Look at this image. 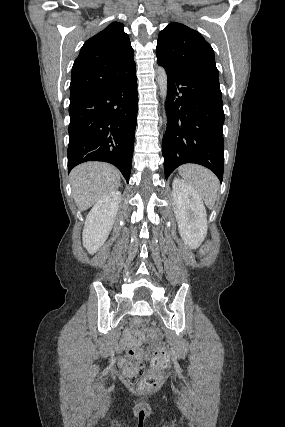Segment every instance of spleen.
Listing matches in <instances>:
<instances>
[{
  "label": "spleen",
  "instance_id": "1",
  "mask_svg": "<svg viewBox=\"0 0 285 427\" xmlns=\"http://www.w3.org/2000/svg\"><path fill=\"white\" fill-rule=\"evenodd\" d=\"M178 171L182 178L198 193L206 206L212 209L219 188L218 178L210 170L195 164L183 165Z\"/></svg>",
  "mask_w": 285,
  "mask_h": 427
}]
</instances>
